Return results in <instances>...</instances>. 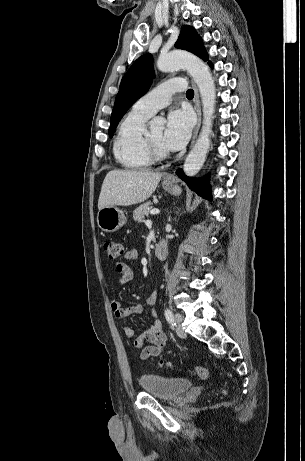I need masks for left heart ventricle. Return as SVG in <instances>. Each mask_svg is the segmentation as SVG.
Segmentation results:
<instances>
[{
    "mask_svg": "<svg viewBox=\"0 0 305 461\" xmlns=\"http://www.w3.org/2000/svg\"><path fill=\"white\" fill-rule=\"evenodd\" d=\"M163 133L162 127H157L149 131L152 141L160 148L165 149L163 145Z\"/></svg>",
    "mask_w": 305,
    "mask_h": 461,
    "instance_id": "left-heart-ventricle-1",
    "label": "left heart ventricle"
}]
</instances>
